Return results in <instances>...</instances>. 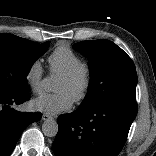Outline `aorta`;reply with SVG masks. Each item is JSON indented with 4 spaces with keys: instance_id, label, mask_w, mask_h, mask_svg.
<instances>
[{
    "instance_id": "aorta-1",
    "label": "aorta",
    "mask_w": 156,
    "mask_h": 156,
    "mask_svg": "<svg viewBox=\"0 0 156 156\" xmlns=\"http://www.w3.org/2000/svg\"><path fill=\"white\" fill-rule=\"evenodd\" d=\"M43 87L46 90L51 89V78L47 77L44 78L43 81ZM42 132L47 137H54L58 133V123L54 119H46L42 124Z\"/></svg>"
}]
</instances>
